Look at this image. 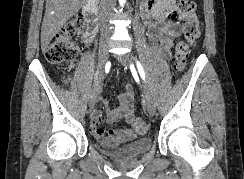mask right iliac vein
<instances>
[{"label":"right iliac vein","mask_w":244,"mask_h":179,"mask_svg":"<svg viewBox=\"0 0 244 179\" xmlns=\"http://www.w3.org/2000/svg\"><path fill=\"white\" fill-rule=\"evenodd\" d=\"M108 58H109L108 44H106L99 49L100 71H99L97 78L95 79V81L93 83V87L89 94V106L90 107H94L97 102V97H98V94L100 91V85H101V79H102V69H103L104 65L107 63Z\"/></svg>","instance_id":"right-iliac-vein-1"}]
</instances>
